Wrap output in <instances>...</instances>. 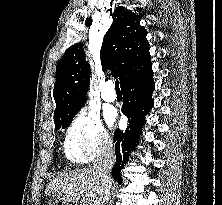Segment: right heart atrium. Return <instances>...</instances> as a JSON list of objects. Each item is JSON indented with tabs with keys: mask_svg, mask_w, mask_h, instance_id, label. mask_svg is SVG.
<instances>
[{
	"mask_svg": "<svg viewBox=\"0 0 222 205\" xmlns=\"http://www.w3.org/2000/svg\"><path fill=\"white\" fill-rule=\"evenodd\" d=\"M111 142V137L99 117L82 110L66 130L64 150L71 161L86 163L109 149Z\"/></svg>",
	"mask_w": 222,
	"mask_h": 205,
	"instance_id": "d8ad5b80",
	"label": "right heart atrium"
}]
</instances>
